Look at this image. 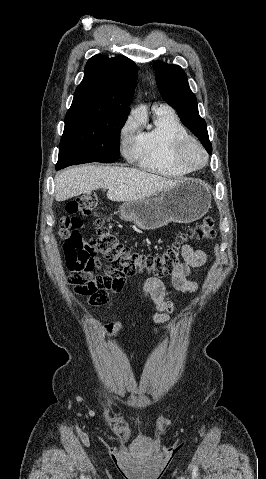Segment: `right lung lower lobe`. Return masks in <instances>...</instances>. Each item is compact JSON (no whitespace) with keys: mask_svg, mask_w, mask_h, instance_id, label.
I'll return each mask as SVG.
<instances>
[{"mask_svg":"<svg viewBox=\"0 0 266 479\" xmlns=\"http://www.w3.org/2000/svg\"><path fill=\"white\" fill-rule=\"evenodd\" d=\"M60 169H62V168H60V167H56V170H57V171H58V170H60Z\"/></svg>","mask_w":266,"mask_h":479,"instance_id":"1","label":"right lung lower lobe"}]
</instances>
